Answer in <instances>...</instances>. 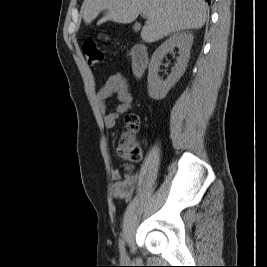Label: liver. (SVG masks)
Instances as JSON below:
<instances>
[{
  "label": "liver",
  "instance_id": "6515ba94",
  "mask_svg": "<svg viewBox=\"0 0 267 267\" xmlns=\"http://www.w3.org/2000/svg\"><path fill=\"white\" fill-rule=\"evenodd\" d=\"M103 10L106 15L98 24L109 20L131 23L142 13L147 21L141 38L152 43L180 30L200 29L205 24L208 5L204 0H84L85 24H90Z\"/></svg>",
  "mask_w": 267,
  "mask_h": 267
}]
</instances>
